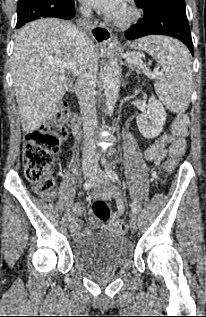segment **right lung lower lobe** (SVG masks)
<instances>
[{
	"instance_id": "1",
	"label": "right lung lower lobe",
	"mask_w": 206,
	"mask_h": 317,
	"mask_svg": "<svg viewBox=\"0 0 206 317\" xmlns=\"http://www.w3.org/2000/svg\"><path fill=\"white\" fill-rule=\"evenodd\" d=\"M74 15H75L74 0L67 6H61V8L57 10L58 18L71 19L74 17Z\"/></svg>"
}]
</instances>
